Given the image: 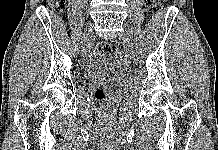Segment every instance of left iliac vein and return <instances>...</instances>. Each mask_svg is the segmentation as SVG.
Segmentation results:
<instances>
[{"label":"left iliac vein","mask_w":218,"mask_h":150,"mask_svg":"<svg viewBox=\"0 0 218 150\" xmlns=\"http://www.w3.org/2000/svg\"><path fill=\"white\" fill-rule=\"evenodd\" d=\"M123 42L129 47L128 49L131 51L133 48L131 47V34L128 26H125L124 34L122 36Z\"/></svg>","instance_id":"left-iliac-vein-1"}]
</instances>
